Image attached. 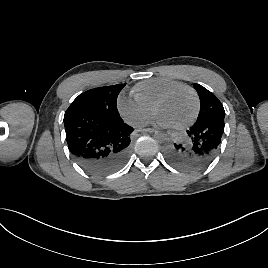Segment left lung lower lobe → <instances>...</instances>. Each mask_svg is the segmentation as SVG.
Masks as SVG:
<instances>
[{
  "label": "left lung lower lobe",
  "mask_w": 268,
  "mask_h": 268,
  "mask_svg": "<svg viewBox=\"0 0 268 268\" xmlns=\"http://www.w3.org/2000/svg\"><path fill=\"white\" fill-rule=\"evenodd\" d=\"M215 121L217 123L194 124L182 140L166 147L167 159L184 171H200L207 167L218 154L224 133V118Z\"/></svg>",
  "instance_id": "obj_1"
}]
</instances>
